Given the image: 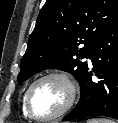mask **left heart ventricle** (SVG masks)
<instances>
[{
	"mask_svg": "<svg viewBox=\"0 0 118 123\" xmlns=\"http://www.w3.org/2000/svg\"><path fill=\"white\" fill-rule=\"evenodd\" d=\"M68 99V89L59 79H48L39 83L31 93L33 112L42 117L56 114Z\"/></svg>",
	"mask_w": 118,
	"mask_h": 123,
	"instance_id": "b2bd125f",
	"label": "left heart ventricle"
}]
</instances>
